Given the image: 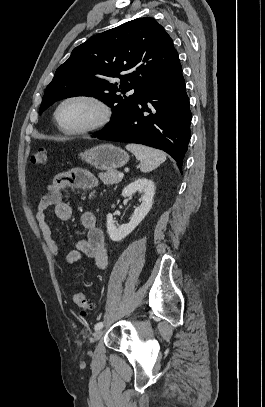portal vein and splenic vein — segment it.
Instances as JSON below:
<instances>
[{"label":"portal vein and splenic vein","instance_id":"portal-vein-and-splenic-vein-1","mask_svg":"<svg viewBox=\"0 0 265 407\" xmlns=\"http://www.w3.org/2000/svg\"><path fill=\"white\" fill-rule=\"evenodd\" d=\"M123 176H124V174L121 173V172L118 174V177H119V178H123Z\"/></svg>","mask_w":265,"mask_h":407}]
</instances>
